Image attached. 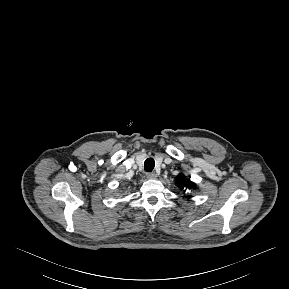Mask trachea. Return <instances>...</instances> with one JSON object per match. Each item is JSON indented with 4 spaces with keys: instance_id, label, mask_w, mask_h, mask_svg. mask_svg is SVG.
Instances as JSON below:
<instances>
[{
    "instance_id": "1",
    "label": "trachea",
    "mask_w": 289,
    "mask_h": 289,
    "mask_svg": "<svg viewBox=\"0 0 289 289\" xmlns=\"http://www.w3.org/2000/svg\"><path fill=\"white\" fill-rule=\"evenodd\" d=\"M155 167V161L153 158H147L144 162V169L146 172H151Z\"/></svg>"
}]
</instances>
